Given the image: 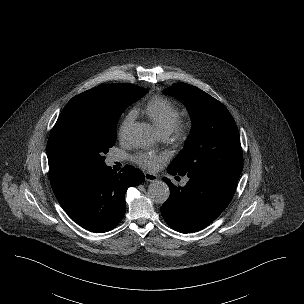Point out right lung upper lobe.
<instances>
[{
    "mask_svg": "<svg viewBox=\"0 0 304 304\" xmlns=\"http://www.w3.org/2000/svg\"><path fill=\"white\" fill-rule=\"evenodd\" d=\"M127 85L128 84L100 85L73 97L63 110L79 102L117 99L122 95ZM47 156L50 183L54 193L69 185L89 170L55 143L52 132L47 143Z\"/></svg>",
    "mask_w": 304,
    "mask_h": 304,
    "instance_id": "1",
    "label": "right lung upper lobe"
}]
</instances>
